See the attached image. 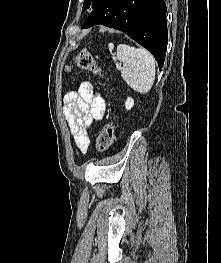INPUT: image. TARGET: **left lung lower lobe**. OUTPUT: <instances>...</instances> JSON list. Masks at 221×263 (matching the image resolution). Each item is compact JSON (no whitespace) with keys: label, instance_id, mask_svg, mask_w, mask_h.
<instances>
[{"label":"left lung lower lobe","instance_id":"0a47b994","mask_svg":"<svg viewBox=\"0 0 221 263\" xmlns=\"http://www.w3.org/2000/svg\"><path fill=\"white\" fill-rule=\"evenodd\" d=\"M166 11L164 0H103L82 28L103 24L123 31L153 54L161 70L168 44Z\"/></svg>","mask_w":221,"mask_h":263}]
</instances>
